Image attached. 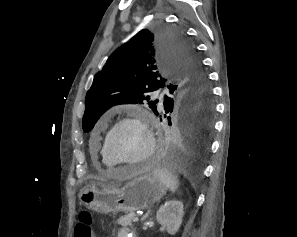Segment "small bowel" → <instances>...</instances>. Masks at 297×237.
I'll return each mask as SVG.
<instances>
[{"instance_id": "1", "label": "small bowel", "mask_w": 297, "mask_h": 237, "mask_svg": "<svg viewBox=\"0 0 297 237\" xmlns=\"http://www.w3.org/2000/svg\"><path fill=\"white\" fill-rule=\"evenodd\" d=\"M118 237H131V232L128 228H120L118 231Z\"/></svg>"}]
</instances>
